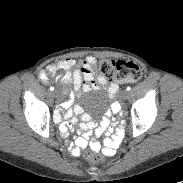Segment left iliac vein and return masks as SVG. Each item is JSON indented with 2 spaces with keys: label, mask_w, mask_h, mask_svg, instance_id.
<instances>
[{
  "label": "left iliac vein",
  "mask_w": 183,
  "mask_h": 183,
  "mask_svg": "<svg viewBox=\"0 0 183 183\" xmlns=\"http://www.w3.org/2000/svg\"><path fill=\"white\" fill-rule=\"evenodd\" d=\"M121 96H122L123 99H127L128 96H129V92L127 90H124V91H122Z\"/></svg>",
  "instance_id": "left-iliac-vein-1"
}]
</instances>
